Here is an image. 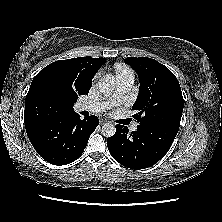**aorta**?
Segmentation results:
<instances>
[{"label":"aorta","instance_id":"obj_1","mask_svg":"<svg viewBox=\"0 0 222 222\" xmlns=\"http://www.w3.org/2000/svg\"><path fill=\"white\" fill-rule=\"evenodd\" d=\"M97 89L102 94H109L114 90V79L112 76H107L97 84ZM116 132V128L112 123H106L102 126V134L105 137H112Z\"/></svg>","mask_w":222,"mask_h":222}]
</instances>
